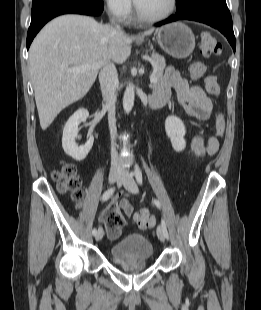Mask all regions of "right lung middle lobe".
Instances as JSON below:
<instances>
[{
    "label": "right lung middle lobe",
    "mask_w": 261,
    "mask_h": 310,
    "mask_svg": "<svg viewBox=\"0 0 261 310\" xmlns=\"http://www.w3.org/2000/svg\"><path fill=\"white\" fill-rule=\"evenodd\" d=\"M38 1H40V0H33L32 4H33V3H36V2H38Z\"/></svg>",
    "instance_id": "right-lung-middle-lobe-1"
}]
</instances>
